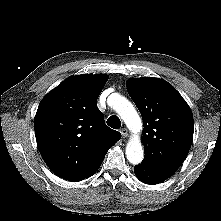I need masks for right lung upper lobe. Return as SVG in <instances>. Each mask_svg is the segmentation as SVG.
Segmentation results:
<instances>
[{
    "label": "right lung upper lobe",
    "instance_id": "cb5924a9",
    "mask_svg": "<svg viewBox=\"0 0 221 221\" xmlns=\"http://www.w3.org/2000/svg\"><path fill=\"white\" fill-rule=\"evenodd\" d=\"M108 77L82 74L65 79L40 102L34 129L47 166L69 181H81L101 165L121 134L105 125L96 103Z\"/></svg>",
    "mask_w": 221,
    "mask_h": 221
}]
</instances>
